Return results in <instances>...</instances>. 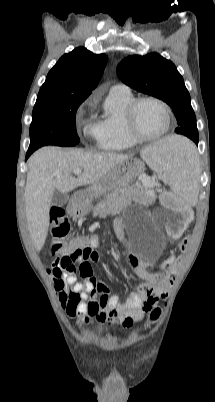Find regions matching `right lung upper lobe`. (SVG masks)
I'll use <instances>...</instances> for the list:
<instances>
[{
    "label": "right lung upper lobe",
    "instance_id": "right-lung-upper-lobe-1",
    "mask_svg": "<svg viewBox=\"0 0 215 402\" xmlns=\"http://www.w3.org/2000/svg\"><path fill=\"white\" fill-rule=\"evenodd\" d=\"M105 54L78 47L63 55L47 75L39 96L87 98L97 86L107 63Z\"/></svg>",
    "mask_w": 215,
    "mask_h": 402
}]
</instances>
